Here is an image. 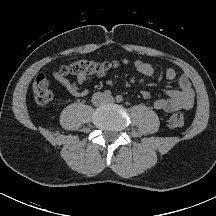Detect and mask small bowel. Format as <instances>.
Returning a JSON list of instances; mask_svg holds the SVG:
<instances>
[{
	"label": "small bowel",
	"instance_id": "c3829d8e",
	"mask_svg": "<svg viewBox=\"0 0 216 216\" xmlns=\"http://www.w3.org/2000/svg\"><path fill=\"white\" fill-rule=\"evenodd\" d=\"M123 63L131 66L144 76L151 77L154 75V67L149 62L143 60L130 62L128 59H123ZM104 75L105 72L99 73V76ZM165 76L168 80H174L177 76V72L174 68H168L165 71ZM54 77L65 91L77 97L84 96L87 93L86 86L91 81V77L89 76H80L76 82H71L65 77L61 70L55 71ZM178 85V90H165V97L155 100L153 102V107L156 110L167 113L191 109L194 105L195 94L188 76L181 75L178 78ZM141 96L146 100H150L152 97L151 93L147 90H142Z\"/></svg>",
	"mask_w": 216,
	"mask_h": 216
}]
</instances>
